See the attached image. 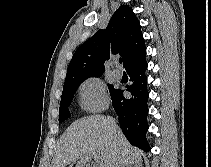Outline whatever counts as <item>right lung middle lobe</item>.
Wrapping results in <instances>:
<instances>
[{
    "instance_id": "1",
    "label": "right lung middle lobe",
    "mask_w": 211,
    "mask_h": 167,
    "mask_svg": "<svg viewBox=\"0 0 211 167\" xmlns=\"http://www.w3.org/2000/svg\"><path fill=\"white\" fill-rule=\"evenodd\" d=\"M85 79L86 78H83L77 81L64 84L61 102H60V108H59V122L65 121L70 116L68 107L71 104L73 95L76 92L77 88L79 87L81 82L84 81ZM108 87L110 90V94L112 96L114 92L116 91V89L113 88V85H108Z\"/></svg>"
}]
</instances>
